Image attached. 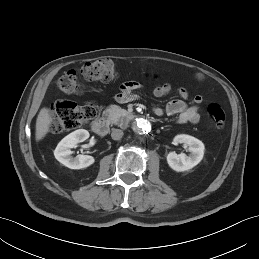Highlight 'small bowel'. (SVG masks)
<instances>
[{
    "instance_id": "small-bowel-1",
    "label": "small bowel",
    "mask_w": 259,
    "mask_h": 259,
    "mask_svg": "<svg viewBox=\"0 0 259 259\" xmlns=\"http://www.w3.org/2000/svg\"><path fill=\"white\" fill-rule=\"evenodd\" d=\"M196 77L199 80H203L204 75L198 73ZM139 88V84L135 81L124 82L119 92L115 95V100L118 103H126L136 99L135 91ZM171 91V86L167 83L156 85L153 89V94L156 97H163ZM178 99L171 100L167 103L165 109L161 107H154L153 113L157 116H162L164 112L168 115H177L179 123H191L196 124L200 120V107L199 104L203 102L202 96H195L192 102L189 104L187 100L189 98L188 91L180 87L178 89Z\"/></svg>"
}]
</instances>
